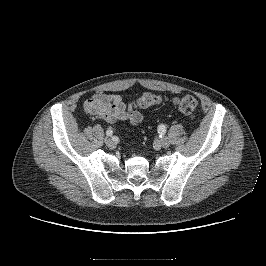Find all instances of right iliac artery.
Masks as SVG:
<instances>
[{
	"label": "right iliac artery",
	"instance_id": "82829eb1",
	"mask_svg": "<svg viewBox=\"0 0 266 266\" xmlns=\"http://www.w3.org/2000/svg\"><path fill=\"white\" fill-rule=\"evenodd\" d=\"M106 134H107V136L111 137L113 135V130L112 129H108L106 131Z\"/></svg>",
	"mask_w": 266,
	"mask_h": 266
}]
</instances>
